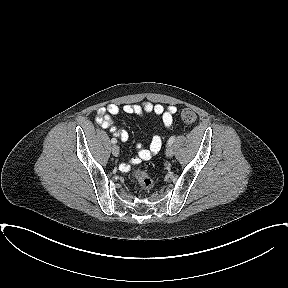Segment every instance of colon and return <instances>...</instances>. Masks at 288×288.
I'll return each mask as SVG.
<instances>
[{
  "instance_id": "obj_1",
  "label": "colon",
  "mask_w": 288,
  "mask_h": 288,
  "mask_svg": "<svg viewBox=\"0 0 288 288\" xmlns=\"http://www.w3.org/2000/svg\"><path fill=\"white\" fill-rule=\"evenodd\" d=\"M181 119L186 124H193L196 122L197 116L191 109H183L181 111ZM132 177L139 183L142 189L150 190L153 187L152 179L143 170L137 169L133 172Z\"/></svg>"
}]
</instances>
